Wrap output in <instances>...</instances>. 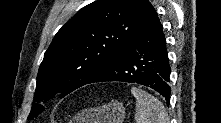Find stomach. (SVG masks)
<instances>
[{"instance_id": "1", "label": "stomach", "mask_w": 221, "mask_h": 123, "mask_svg": "<svg viewBox=\"0 0 221 123\" xmlns=\"http://www.w3.org/2000/svg\"><path fill=\"white\" fill-rule=\"evenodd\" d=\"M126 115L120 102H110L98 108L84 109L70 123H122Z\"/></svg>"}]
</instances>
